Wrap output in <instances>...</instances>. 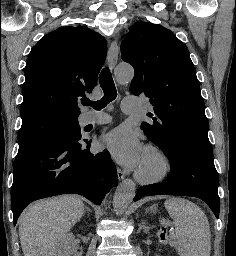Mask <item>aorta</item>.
I'll return each instance as SVG.
<instances>
[{"instance_id":"1","label":"aorta","mask_w":236,"mask_h":256,"mask_svg":"<svg viewBox=\"0 0 236 256\" xmlns=\"http://www.w3.org/2000/svg\"><path fill=\"white\" fill-rule=\"evenodd\" d=\"M134 76V70L130 65L120 64L115 70L118 83H129ZM135 183L131 179H125L117 187L113 197V207L117 215H121L131 204L135 196Z\"/></svg>"}]
</instances>
